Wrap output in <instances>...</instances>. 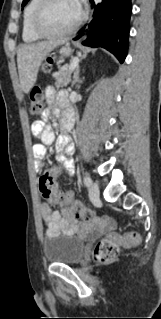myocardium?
I'll use <instances>...</instances> for the list:
<instances>
[{
	"label": "myocardium",
	"mask_w": 161,
	"mask_h": 319,
	"mask_svg": "<svg viewBox=\"0 0 161 319\" xmlns=\"http://www.w3.org/2000/svg\"><path fill=\"white\" fill-rule=\"evenodd\" d=\"M52 1L53 0H41L35 11V14L32 20V29L39 37L59 38V37L67 36L73 33L79 27V25L82 23V21L84 20L86 16V10L83 7V5L80 3V1L78 0L79 14L76 17V19L73 21V23L69 25L67 28L60 31H56V32L47 31L42 26V18L46 9L49 7Z\"/></svg>",
	"instance_id": "f54148a6"
}]
</instances>
